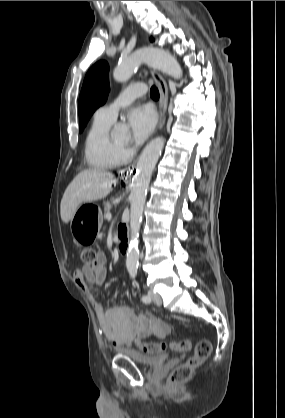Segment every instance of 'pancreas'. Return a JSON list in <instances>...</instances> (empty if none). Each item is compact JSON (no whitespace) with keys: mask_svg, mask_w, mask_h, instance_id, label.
<instances>
[{"mask_svg":"<svg viewBox=\"0 0 285 418\" xmlns=\"http://www.w3.org/2000/svg\"><path fill=\"white\" fill-rule=\"evenodd\" d=\"M111 209V204L109 202L104 203V212L105 214L108 213Z\"/></svg>","mask_w":285,"mask_h":418,"instance_id":"obj_1","label":"pancreas"}]
</instances>
